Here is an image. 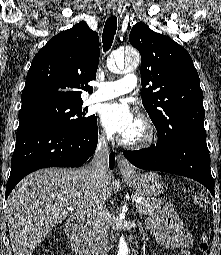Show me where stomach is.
I'll use <instances>...</instances> for the list:
<instances>
[{"label": "stomach", "instance_id": "0dacf381", "mask_svg": "<svg viewBox=\"0 0 221 255\" xmlns=\"http://www.w3.org/2000/svg\"><path fill=\"white\" fill-rule=\"evenodd\" d=\"M124 178L129 186L144 196L155 197L164 192V182L157 173L148 172L140 174L135 172L130 175L125 174Z\"/></svg>", "mask_w": 221, "mask_h": 255}]
</instances>
